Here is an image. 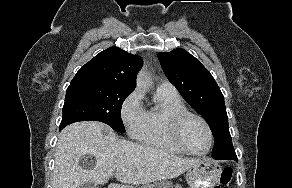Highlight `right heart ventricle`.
<instances>
[{"label":"right heart ventricle","mask_w":292,"mask_h":188,"mask_svg":"<svg viewBox=\"0 0 292 188\" xmlns=\"http://www.w3.org/2000/svg\"><path fill=\"white\" fill-rule=\"evenodd\" d=\"M155 107L144 111V119L137 140L147 146L181 154L183 151L174 143L170 136L169 118L187 108L178 94H170L157 90Z\"/></svg>","instance_id":"1"}]
</instances>
